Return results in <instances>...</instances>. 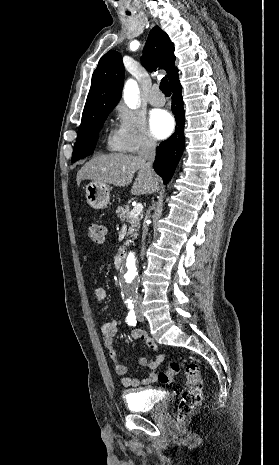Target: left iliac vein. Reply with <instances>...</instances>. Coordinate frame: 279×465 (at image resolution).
Returning <instances> with one entry per match:
<instances>
[{"mask_svg":"<svg viewBox=\"0 0 279 465\" xmlns=\"http://www.w3.org/2000/svg\"><path fill=\"white\" fill-rule=\"evenodd\" d=\"M137 318H138V320H139L140 322H143V321H144V317H143V315H142V313H141L140 311H138V313H137Z\"/></svg>","mask_w":279,"mask_h":465,"instance_id":"4c4485c4","label":"left iliac vein"}]
</instances>
